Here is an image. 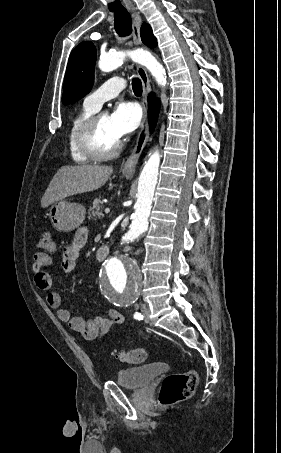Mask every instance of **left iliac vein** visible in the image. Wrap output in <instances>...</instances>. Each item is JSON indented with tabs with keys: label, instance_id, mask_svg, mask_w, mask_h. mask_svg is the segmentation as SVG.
<instances>
[{
	"label": "left iliac vein",
	"instance_id": "obj_1",
	"mask_svg": "<svg viewBox=\"0 0 281 453\" xmlns=\"http://www.w3.org/2000/svg\"><path fill=\"white\" fill-rule=\"evenodd\" d=\"M144 311H145L144 314H143L144 315V320H145V323H148V322H150V319H149V315H150L149 311L150 310H148V308L146 307V308H144Z\"/></svg>",
	"mask_w": 281,
	"mask_h": 453
}]
</instances>
